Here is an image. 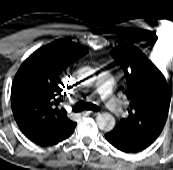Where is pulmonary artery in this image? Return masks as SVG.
I'll list each match as a JSON object with an SVG mask.
<instances>
[{"mask_svg": "<svg viewBox=\"0 0 173 170\" xmlns=\"http://www.w3.org/2000/svg\"><path fill=\"white\" fill-rule=\"evenodd\" d=\"M113 89V77L109 73H101L97 78L96 92L104 100L108 110L119 116L122 113V109L118 101L112 98Z\"/></svg>", "mask_w": 173, "mask_h": 170, "instance_id": "obj_1", "label": "pulmonary artery"}]
</instances>
